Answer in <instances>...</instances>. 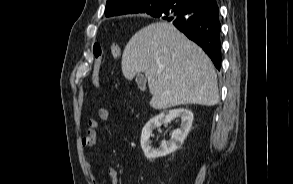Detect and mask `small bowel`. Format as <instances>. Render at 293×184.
Returning a JSON list of instances; mask_svg holds the SVG:
<instances>
[{"label": "small bowel", "instance_id": "small-bowel-1", "mask_svg": "<svg viewBox=\"0 0 293 184\" xmlns=\"http://www.w3.org/2000/svg\"><path fill=\"white\" fill-rule=\"evenodd\" d=\"M99 120L109 121L112 118L111 112L107 109H100L98 112ZM96 118H91L88 122V130L81 140L83 148H89L95 145L97 140V132L100 128V122ZM87 167L92 174L93 184H99L96 176L93 173L91 162H87ZM111 184H118V171L114 167H110L107 171Z\"/></svg>", "mask_w": 293, "mask_h": 184}]
</instances>
